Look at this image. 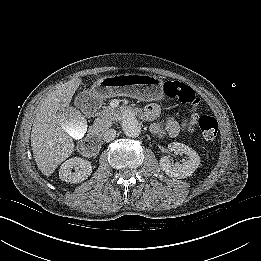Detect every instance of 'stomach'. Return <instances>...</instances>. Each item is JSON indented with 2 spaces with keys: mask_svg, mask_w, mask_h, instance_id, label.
<instances>
[{
  "mask_svg": "<svg viewBox=\"0 0 261 261\" xmlns=\"http://www.w3.org/2000/svg\"><path fill=\"white\" fill-rule=\"evenodd\" d=\"M163 81L156 76L120 74L97 80L89 93L90 103H101L102 99L129 96L144 101L161 99ZM95 109V107H94Z\"/></svg>",
  "mask_w": 261,
  "mask_h": 261,
  "instance_id": "1",
  "label": "stomach"
}]
</instances>
